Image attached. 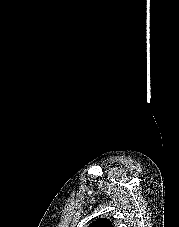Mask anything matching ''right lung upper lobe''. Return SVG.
<instances>
[{
	"instance_id": "right-lung-upper-lobe-1",
	"label": "right lung upper lobe",
	"mask_w": 179,
	"mask_h": 227,
	"mask_svg": "<svg viewBox=\"0 0 179 227\" xmlns=\"http://www.w3.org/2000/svg\"><path fill=\"white\" fill-rule=\"evenodd\" d=\"M88 227H114L108 219L100 218L92 222Z\"/></svg>"
}]
</instances>
